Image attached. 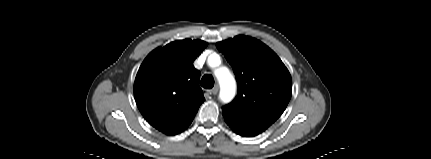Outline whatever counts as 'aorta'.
Returning a JSON list of instances; mask_svg holds the SVG:
<instances>
[{"label":"aorta","instance_id":"aorta-1","mask_svg":"<svg viewBox=\"0 0 431 159\" xmlns=\"http://www.w3.org/2000/svg\"><path fill=\"white\" fill-rule=\"evenodd\" d=\"M215 75L220 84V99L225 103L230 102L235 95V79L227 68L217 70Z\"/></svg>","mask_w":431,"mask_h":159}]
</instances>
